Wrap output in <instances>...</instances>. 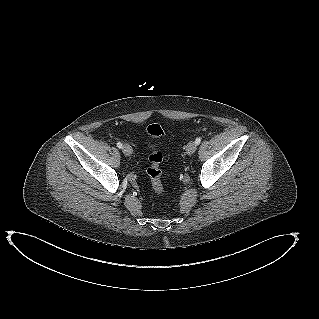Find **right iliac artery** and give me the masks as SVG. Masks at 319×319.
<instances>
[{"label": "right iliac artery", "instance_id": "obj_1", "mask_svg": "<svg viewBox=\"0 0 319 319\" xmlns=\"http://www.w3.org/2000/svg\"><path fill=\"white\" fill-rule=\"evenodd\" d=\"M117 147L121 149V148L123 147L122 143H121V142H118V143H117Z\"/></svg>", "mask_w": 319, "mask_h": 319}]
</instances>
